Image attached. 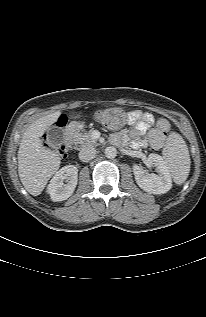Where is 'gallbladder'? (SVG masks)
<instances>
[{"label": "gallbladder", "instance_id": "obj_1", "mask_svg": "<svg viewBox=\"0 0 206 317\" xmlns=\"http://www.w3.org/2000/svg\"><path fill=\"white\" fill-rule=\"evenodd\" d=\"M64 140V130L59 127H51L47 131V143L50 147L59 148Z\"/></svg>", "mask_w": 206, "mask_h": 317}]
</instances>
